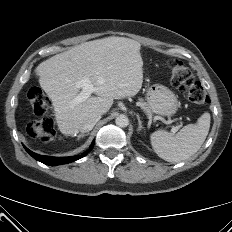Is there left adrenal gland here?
<instances>
[{
	"label": "left adrenal gland",
	"mask_w": 232,
	"mask_h": 232,
	"mask_svg": "<svg viewBox=\"0 0 232 232\" xmlns=\"http://www.w3.org/2000/svg\"><path fill=\"white\" fill-rule=\"evenodd\" d=\"M136 116H137L138 125H139L137 131H138L139 134H141L142 129H143L144 127L142 126V121L140 120L139 115H136Z\"/></svg>",
	"instance_id": "obj_1"
}]
</instances>
